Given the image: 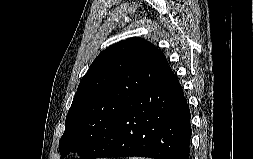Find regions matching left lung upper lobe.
<instances>
[{"instance_id":"left-lung-upper-lobe-1","label":"left lung upper lobe","mask_w":253,"mask_h":159,"mask_svg":"<svg viewBox=\"0 0 253 159\" xmlns=\"http://www.w3.org/2000/svg\"><path fill=\"white\" fill-rule=\"evenodd\" d=\"M167 67L164 54L139 37L102 51L81 79L66 116L62 157L71 150L80 159H94L124 107Z\"/></svg>"}]
</instances>
